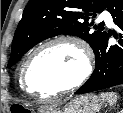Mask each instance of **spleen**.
Wrapping results in <instances>:
<instances>
[{
    "label": "spleen",
    "mask_w": 123,
    "mask_h": 113,
    "mask_svg": "<svg viewBox=\"0 0 123 113\" xmlns=\"http://www.w3.org/2000/svg\"><path fill=\"white\" fill-rule=\"evenodd\" d=\"M101 96L106 99V101L109 103L110 106H113L116 104L118 96L116 93L113 92H107V93H102Z\"/></svg>",
    "instance_id": "obj_1"
}]
</instances>
